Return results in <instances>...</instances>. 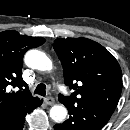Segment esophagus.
I'll use <instances>...</instances> for the list:
<instances>
[{"label": "esophagus", "instance_id": "esophagus-1", "mask_svg": "<svg viewBox=\"0 0 130 130\" xmlns=\"http://www.w3.org/2000/svg\"><path fill=\"white\" fill-rule=\"evenodd\" d=\"M44 102L47 105H53L55 103V99L53 97H46V98H44Z\"/></svg>", "mask_w": 130, "mask_h": 130}]
</instances>
